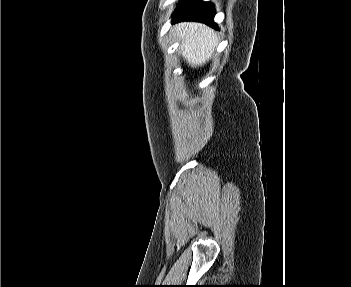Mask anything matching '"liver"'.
<instances>
[{"label":"liver","instance_id":"liver-1","mask_svg":"<svg viewBox=\"0 0 351 287\" xmlns=\"http://www.w3.org/2000/svg\"><path fill=\"white\" fill-rule=\"evenodd\" d=\"M174 28L181 41V55L191 67L202 66L212 57L218 44L213 29L195 22L178 23Z\"/></svg>","mask_w":351,"mask_h":287}]
</instances>
